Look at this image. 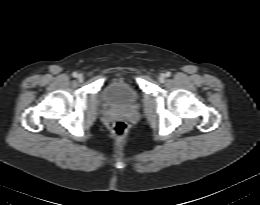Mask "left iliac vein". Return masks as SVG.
I'll use <instances>...</instances> for the list:
<instances>
[{
  "label": "left iliac vein",
  "instance_id": "obj_1",
  "mask_svg": "<svg viewBox=\"0 0 260 205\" xmlns=\"http://www.w3.org/2000/svg\"><path fill=\"white\" fill-rule=\"evenodd\" d=\"M164 80H165V74H160L159 75V81L164 82Z\"/></svg>",
  "mask_w": 260,
  "mask_h": 205
}]
</instances>
